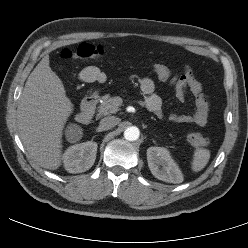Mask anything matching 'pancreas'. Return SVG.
I'll list each match as a JSON object with an SVG mask.
<instances>
[{"label":"pancreas","mask_w":248,"mask_h":248,"mask_svg":"<svg viewBox=\"0 0 248 248\" xmlns=\"http://www.w3.org/2000/svg\"><path fill=\"white\" fill-rule=\"evenodd\" d=\"M101 100L102 103L98 107V116L110 115L119 110V105L116 103L115 98L109 94L102 96Z\"/></svg>","instance_id":"cf45deb5"}]
</instances>
